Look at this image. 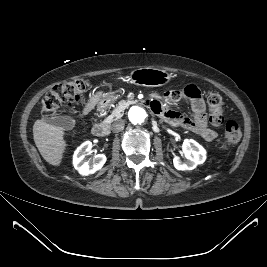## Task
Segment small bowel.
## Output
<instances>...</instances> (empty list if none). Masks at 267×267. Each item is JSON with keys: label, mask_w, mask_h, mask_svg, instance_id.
Returning <instances> with one entry per match:
<instances>
[{"label": "small bowel", "mask_w": 267, "mask_h": 267, "mask_svg": "<svg viewBox=\"0 0 267 267\" xmlns=\"http://www.w3.org/2000/svg\"><path fill=\"white\" fill-rule=\"evenodd\" d=\"M165 100L166 103L157 99L153 100L150 103L151 110L169 124L190 130L206 141L210 142L217 138V132L209 126L204 100L200 90L195 85L188 84L179 89L167 91ZM179 100L190 104L192 110L191 117L184 116L180 112L171 109L168 105Z\"/></svg>", "instance_id": "c3829d8e"}]
</instances>
